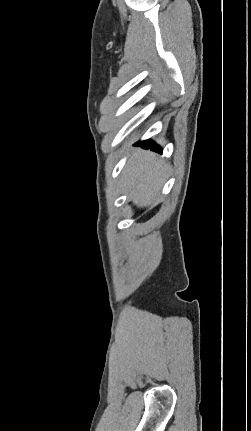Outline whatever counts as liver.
I'll use <instances>...</instances> for the list:
<instances>
[{
    "label": "liver",
    "instance_id": "liver-1",
    "mask_svg": "<svg viewBox=\"0 0 251 431\" xmlns=\"http://www.w3.org/2000/svg\"><path fill=\"white\" fill-rule=\"evenodd\" d=\"M166 176V165L150 151L137 149L122 172V185L138 207L153 204Z\"/></svg>",
    "mask_w": 251,
    "mask_h": 431
}]
</instances>
